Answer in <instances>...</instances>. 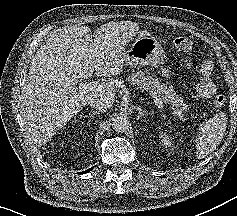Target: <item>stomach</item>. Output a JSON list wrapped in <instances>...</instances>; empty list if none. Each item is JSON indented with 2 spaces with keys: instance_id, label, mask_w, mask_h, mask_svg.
I'll use <instances>...</instances> for the list:
<instances>
[{
  "instance_id": "obj_1",
  "label": "stomach",
  "mask_w": 237,
  "mask_h": 216,
  "mask_svg": "<svg viewBox=\"0 0 237 216\" xmlns=\"http://www.w3.org/2000/svg\"><path fill=\"white\" fill-rule=\"evenodd\" d=\"M165 52L162 46L153 37H139L123 54L126 66L138 67L144 65L157 66L163 64Z\"/></svg>"
}]
</instances>
